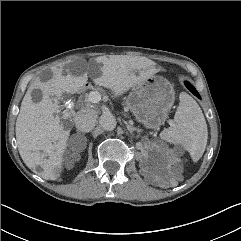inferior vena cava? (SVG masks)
Here are the masks:
<instances>
[{
  "label": "inferior vena cava",
  "instance_id": "1",
  "mask_svg": "<svg viewBox=\"0 0 241 241\" xmlns=\"http://www.w3.org/2000/svg\"><path fill=\"white\" fill-rule=\"evenodd\" d=\"M97 113L93 109L78 111L74 117L76 128L81 132H90L96 125Z\"/></svg>",
  "mask_w": 241,
  "mask_h": 241
}]
</instances>
